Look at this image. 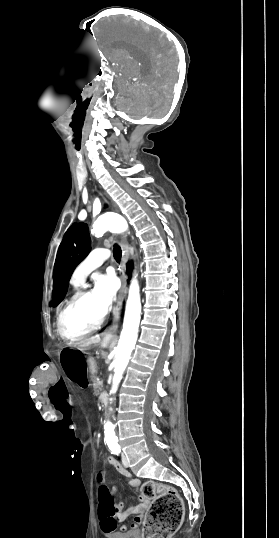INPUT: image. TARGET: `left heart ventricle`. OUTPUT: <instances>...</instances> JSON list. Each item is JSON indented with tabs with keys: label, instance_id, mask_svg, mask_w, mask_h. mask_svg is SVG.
Segmentation results:
<instances>
[{
	"label": "left heart ventricle",
	"instance_id": "1",
	"mask_svg": "<svg viewBox=\"0 0 279 538\" xmlns=\"http://www.w3.org/2000/svg\"><path fill=\"white\" fill-rule=\"evenodd\" d=\"M103 313L104 310L98 297L95 293H91L67 312L64 330L68 335H79L92 328Z\"/></svg>",
	"mask_w": 279,
	"mask_h": 538
}]
</instances>
